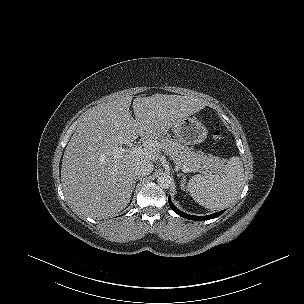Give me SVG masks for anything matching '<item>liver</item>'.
<instances>
[{"mask_svg": "<svg viewBox=\"0 0 304 304\" xmlns=\"http://www.w3.org/2000/svg\"><path fill=\"white\" fill-rule=\"evenodd\" d=\"M131 96L98 104L87 110L65 148L61 168L63 191L80 214L101 218L126 208L134 189V165L156 162L167 131L205 107L194 97L156 94ZM140 136V152L116 151Z\"/></svg>", "mask_w": 304, "mask_h": 304, "instance_id": "obj_1", "label": "liver"}]
</instances>
